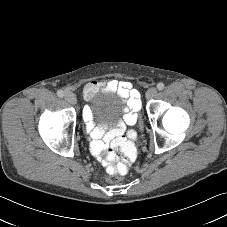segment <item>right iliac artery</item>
<instances>
[{
    "mask_svg": "<svg viewBox=\"0 0 227 227\" xmlns=\"http://www.w3.org/2000/svg\"><path fill=\"white\" fill-rule=\"evenodd\" d=\"M57 95H58V97L62 98L64 96V92L62 90H58Z\"/></svg>",
    "mask_w": 227,
    "mask_h": 227,
    "instance_id": "82829eb1",
    "label": "right iliac artery"
}]
</instances>
